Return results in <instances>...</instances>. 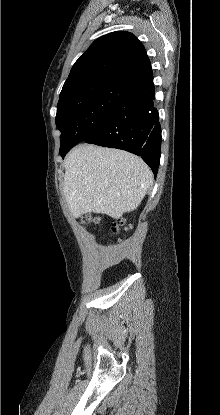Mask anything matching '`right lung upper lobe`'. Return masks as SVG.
I'll list each match as a JSON object with an SVG mask.
<instances>
[{"mask_svg":"<svg viewBox=\"0 0 220 415\" xmlns=\"http://www.w3.org/2000/svg\"><path fill=\"white\" fill-rule=\"evenodd\" d=\"M118 78L137 87L153 79L142 43L126 31L96 39L73 65L62 90L88 80Z\"/></svg>","mask_w":220,"mask_h":415,"instance_id":"cb5924a9","label":"right lung upper lobe"}]
</instances>
